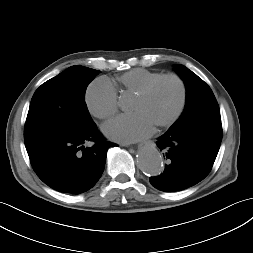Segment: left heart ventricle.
I'll use <instances>...</instances> for the list:
<instances>
[{"label": "left heart ventricle", "mask_w": 253, "mask_h": 253, "mask_svg": "<svg viewBox=\"0 0 253 253\" xmlns=\"http://www.w3.org/2000/svg\"><path fill=\"white\" fill-rule=\"evenodd\" d=\"M180 99V89L173 80H164L145 97H134L131 111L145 114L154 125L169 119Z\"/></svg>", "instance_id": "1"}]
</instances>
